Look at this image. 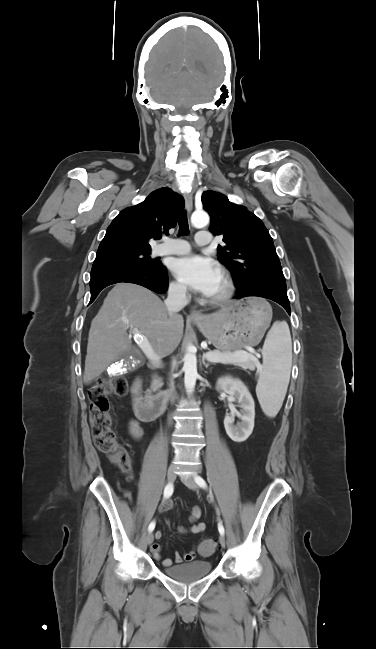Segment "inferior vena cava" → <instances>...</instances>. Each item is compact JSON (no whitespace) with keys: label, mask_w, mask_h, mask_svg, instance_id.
<instances>
[{"label":"inferior vena cava","mask_w":376,"mask_h":649,"mask_svg":"<svg viewBox=\"0 0 376 649\" xmlns=\"http://www.w3.org/2000/svg\"><path fill=\"white\" fill-rule=\"evenodd\" d=\"M187 287L185 285H173L168 289V296L165 300L169 315L179 312L188 304ZM168 396L174 398L173 386L167 391Z\"/></svg>","instance_id":"602c4592"}]
</instances>
